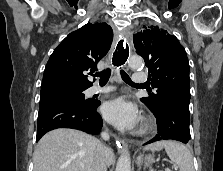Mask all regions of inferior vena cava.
I'll return each instance as SVG.
<instances>
[{"mask_svg":"<svg viewBox=\"0 0 223 171\" xmlns=\"http://www.w3.org/2000/svg\"><path fill=\"white\" fill-rule=\"evenodd\" d=\"M101 137L104 140H109L110 135L108 131H103L101 133ZM105 150H106V147L101 142H99L97 146L95 158H94V163L92 166V171H107Z\"/></svg>","mask_w":223,"mask_h":171,"instance_id":"602c4592","label":"inferior vena cava"}]
</instances>
